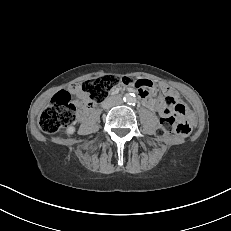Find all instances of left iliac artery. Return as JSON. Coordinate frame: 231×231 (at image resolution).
Here are the masks:
<instances>
[{
	"label": "left iliac artery",
	"instance_id": "left-iliac-artery-1",
	"mask_svg": "<svg viewBox=\"0 0 231 231\" xmlns=\"http://www.w3.org/2000/svg\"><path fill=\"white\" fill-rule=\"evenodd\" d=\"M136 104V99L135 98H132L131 100H130V105H135Z\"/></svg>",
	"mask_w": 231,
	"mask_h": 231
}]
</instances>
